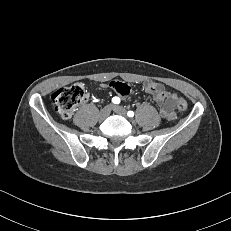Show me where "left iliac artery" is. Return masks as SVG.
Listing matches in <instances>:
<instances>
[{"instance_id":"obj_1","label":"left iliac artery","mask_w":231,"mask_h":231,"mask_svg":"<svg viewBox=\"0 0 231 231\" xmlns=\"http://www.w3.org/2000/svg\"><path fill=\"white\" fill-rule=\"evenodd\" d=\"M127 115H128L129 117H133V116H134V112H133V111H128Z\"/></svg>"}]
</instances>
